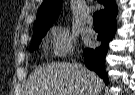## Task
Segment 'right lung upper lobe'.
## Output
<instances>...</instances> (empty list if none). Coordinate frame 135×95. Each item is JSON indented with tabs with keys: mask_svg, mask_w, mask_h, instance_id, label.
<instances>
[{
	"mask_svg": "<svg viewBox=\"0 0 135 95\" xmlns=\"http://www.w3.org/2000/svg\"><path fill=\"white\" fill-rule=\"evenodd\" d=\"M105 6L100 10L101 21L106 18H113L117 15L115 0H97ZM62 0H44L41 4L34 26V32L45 31L50 28L51 24L57 18L60 12Z\"/></svg>",
	"mask_w": 135,
	"mask_h": 95,
	"instance_id": "1",
	"label": "right lung upper lobe"
}]
</instances>
